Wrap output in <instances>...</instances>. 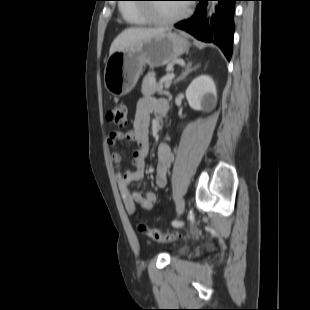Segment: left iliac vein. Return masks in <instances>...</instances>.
<instances>
[{"mask_svg":"<svg viewBox=\"0 0 310 310\" xmlns=\"http://www.w3.org/2000/svg\"><path fill=\"white\" fill-rule=\"evenodd\" d=\"M184 209H185V202H184L183 199H181L177 203V212H178V214L183 213Z\"/></svg>","mask_w":310,"mask_h":310,"instance_id":"left-iliac-vein-1","label":"left iliac vein"}]
</instances>
